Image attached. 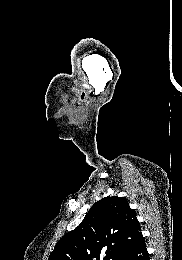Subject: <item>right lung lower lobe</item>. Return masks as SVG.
I'll list each match as a JSON object with an SVG mask.
<instances>
[{
    "label": "right lung lower lobe",
    "instance_id": "right-lung-lower-lobe-1",
    "mask_svg": "<svg viewBox=\"0 0 182 260\" xmlns=\"http://www.w3.org/2000/svg\"><path fill=\"white\" fill-rule=\"evenodd\" d=\"M119 260H149V254L146 250L145 241H142L138 246L127 252Z\"/></svg>",
    "mask_w": 182,
    "mask_h": 260
}]
</instances>
